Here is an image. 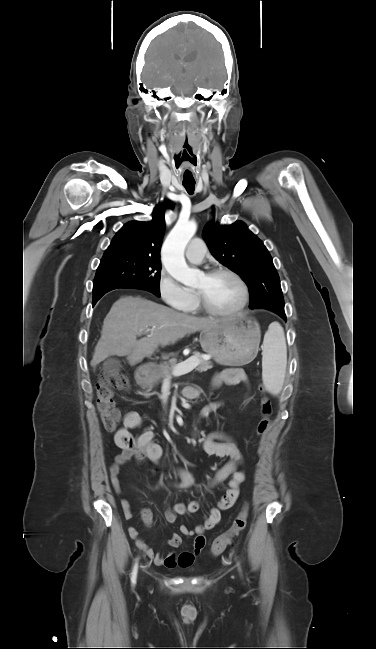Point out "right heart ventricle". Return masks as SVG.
Listing matches in <instances>:
<instances>
[{"label":"right heart ventricle","mask_w":376,"mask_h":649,"mask_svg":"<svg viewBox=\"0 0 376 649\" xmlns=\"http://www.w3.org/2000/svg\"><path fill=\"white\" fill-rule=\"evenodd\" d=\"M190 294L191 296L188 303L182 309L187 313H197L200 311V306L197 302L194 292L190 291Z\"/></svg>","instance_id":"1"}]
</instances>
